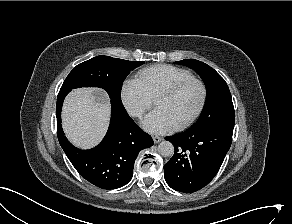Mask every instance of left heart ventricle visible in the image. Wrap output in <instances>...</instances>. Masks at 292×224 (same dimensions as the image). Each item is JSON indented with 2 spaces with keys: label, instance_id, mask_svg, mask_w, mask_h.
I'll return each mask as SVG.
<instances>
[{
  "label": "left heart ventricle",
  "instance_id": "b2bd125f",
  "mask_svg": "<svg viewBox=\"0 0 292 224\" xmlns=\"http://www.w3.org/2000/svg\"><path fill=\"white\" fill-rule=\"evenodd\" d=\"M200 100V87L193 83L173 97L159 99L155 106L162 109L176 126L186 121L195 112Z\"/></svg>",
  "mask_w": 292,
  "mask_h": 224
}]
</instances>
